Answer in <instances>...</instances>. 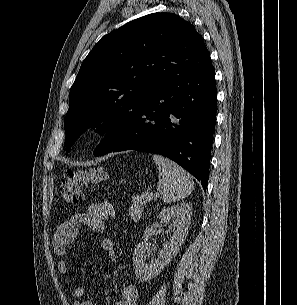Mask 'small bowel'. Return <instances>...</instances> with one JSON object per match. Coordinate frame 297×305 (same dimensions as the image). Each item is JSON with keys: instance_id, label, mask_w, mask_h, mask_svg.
Here are the masks:
<instances>
[{"instance_id": "c3829d8e", "label": "small bowel", "mask_w": 297, "mask_h": 305, "mask_svg": "<svg viewBox=\"0 0 297 305\" xmlns=\"http://www.w3.org/2000/svg\"><path fill=\"white\" fill-rule=\"evenodd\" d=\"M114 215L115 209L108 202L91 204L83 213L72 216L57 227L52 241L54 252L59 256H64L77 238L81 227H88L95 232H103L107 220ZM101 248L109 255L111 260H115L116 249L110 239H102ZM58 270L62 275H68V266L65 260L61 259L59 261ZM85 294L86 290L83 286L75 288L76 305H94L91 301L84 300ZM137 298L138 289L136 285L126 284L121 289V298L116 305H135Z\"/></svg>"}]
</instances>
